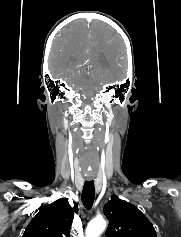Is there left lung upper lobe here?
<instances>
[{"instance_id": "5c2ea615", "label": "left lung upper lobe", "mask_w": 181, "mask_h": 237, "mask_svg": "<svg viewBox=\"0 0 181 237\" xmlns=\"http://www.w3.org/2000/svg\"><path fill=\"white\" fill-rule=\"evenodd\" d=\"M109 220L106 237H157L147 217L133 204L112 196L104 207Z\"/></svg>"}]
</instances>
